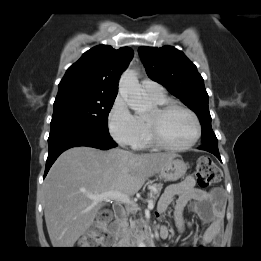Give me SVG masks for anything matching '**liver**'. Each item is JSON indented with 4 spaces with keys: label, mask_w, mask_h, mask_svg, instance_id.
Here are the masks:
<instances>
[{
    "label": "liver",
    "mask_w": 261,
    "mask_h": 261,
    "mask_svg": "<svg viewBox=\"0 0 261 261\" xmlns=\"http://www.w3.org/2000/svg\"><path fill=\"white\" fill-rule=\"evenodd\" d=\"M175 156L85 146L63 152L43 184L44 215L53 247L72 248L94 223L105 203L88 198V194L118 191L134 195L147 178Z\"/></svg>",
    "instance_id": "1"
}]
</instances>
